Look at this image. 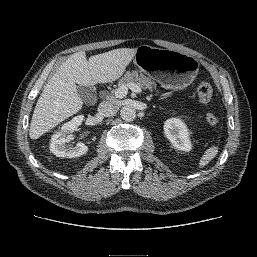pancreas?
Returning <instances> with one entry per match:
<instances>
[{"label":"pancreas","mask_w":257,"mask_h":257,"mask_svg":"<svg viewBox=\"0 0 257 257\" xmlns=\"http://www.w3.org/2000/svg\"><path fill=\"white\" fill-rule=\"evenodd\" d=\"M134 83L143 89L153 91V87L156 86L155 82L151 78L146 77L143 74H138L136 71H128L118 82L119 86H128V84Z\"/></svg>","instance_id":"obj_1"}]
</instances>
